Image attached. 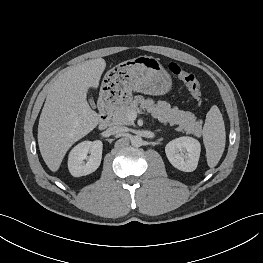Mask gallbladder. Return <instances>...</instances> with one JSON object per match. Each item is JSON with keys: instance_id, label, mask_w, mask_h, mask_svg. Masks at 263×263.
<instances>
[{"instance_id": "1", "label": "gallbladder", "mask_w": 263, "mask_h": 263, "mask_svg": "<svg viewBox=\"0 0 263 263\" xmlns=\"http://www.w3.org/2000/svg\"><path fill=\"white\" fill-rule=\"evenodd\" d=\"M90 104H93V100L92 99H90Z\"/></svg>"}]
</instances>
